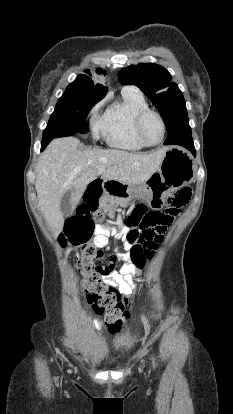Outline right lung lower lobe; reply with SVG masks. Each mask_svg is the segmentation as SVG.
<instances>
[{
  "mask_svg": "<svg viewBox=\"0 0 233 414\" xmlns=\"http://www.w3.org/2000/svg\"><path fill=\"white\" fill-rule=\"evenodd\" d=\"M71 134H72V132H70L68 129H66L64 127L48 124V126L46 127V129L43 132V140H42L41 151L45 149V147L49 144V142L53 138L70 136Z\"/></svg>",
  "mask_w": 233,
  "mask_h": 414,
  "instance_id": "obj_1",
  "label": "right lung lower lobe"
}]
</instances>
